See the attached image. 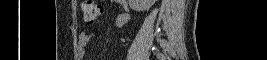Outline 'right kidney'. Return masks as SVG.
Returning a JSON list of instances; mask_svg holds the SVG:
<instances>
[{
	"instance_id": "ca27d5eb",
	"label": "right kidney",
	"mask_w": 267,
	"mask_h": 60,
	"mask_svg": "<svg viewBox=\"0 0 267 60\" xmlns=\"http://www.w3.org/2000/svg\"><path fill=\"white\" fill-rule=\"evenodd\" d=\"M156 0H129V6L135 11L149 10Z\"/></svg>"
}]
</instances>
